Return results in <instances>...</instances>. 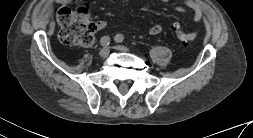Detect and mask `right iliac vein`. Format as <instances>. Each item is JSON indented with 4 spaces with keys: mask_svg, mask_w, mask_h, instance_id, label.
Returning <instances> with one entry per match:
<instances>
[{
    "mask_svg": "<svg viewBox=\"0 0 253 138\" xmlns=\"http://www.w3.org/2000/svg\"><path fill=\"white\" fill-rule=\"evenodd\" d=\"M109 54H110V49H109V47H104V48H102V49L100 50V52H99V55H100V57H102V58L108 57Z\"/></svg>",
    "mask_w": 253,
    "mask_h": 138,
    "instance_id": "obj_1",
    "label": "right iliac vein"
}]
</instances>
